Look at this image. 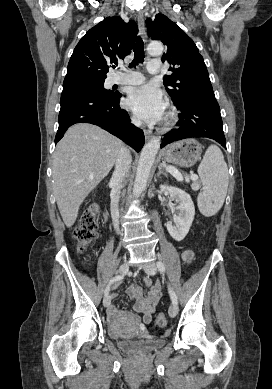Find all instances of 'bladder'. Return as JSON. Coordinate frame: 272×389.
I'll return each mask as SVG.
<instances>
[{
	"label": "bladder",
	"instance_id": "obj_1",
	"mask_svg": "<svg viewBox=\"0 0 272 389\" xmlns=\"http://www.w3.org/2000/svg\"><path fill=\"white\" fill-rule=\"evenodd\" d=\"M108 335L115 340L120 349L132 354L147 353L156 350L165 344V340L161 338L149 340L119 339L118 334L111 328L108 329Z\"/></svg>",
	"mask_w": 272,
	"mask_h": 389
}]
</instances>
